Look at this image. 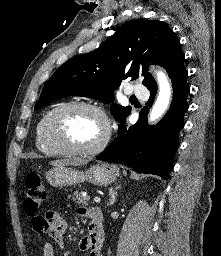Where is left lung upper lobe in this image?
Returning a JSON list of instances; mask_svg holds the SVG:
<instances>
[{
	"instance_id": "5c2ea615",
	"label": "left lung upper lobe",
	"mask_w": 221,
	"mask_h": 256,
	"mask_svg": "<svg viewBox=\"0 0 221 256\" xmlns=\"http://www.w3.org/2000/svg\"><path fill=\"white\" fill-rule=\"evenodd\" d=\"M184 61L180 43L168 25L161 21L132 20L99 50L75 56L61 65L44 85L35 109L70 95L110 103L123 79L136 80L142 75L147 88L156 84L148 72L149 63L162 66L171 77L184 68ZM111 110L117 121L124 122L131 107L112 104Z\"/></svg>"
}]
</instances>
